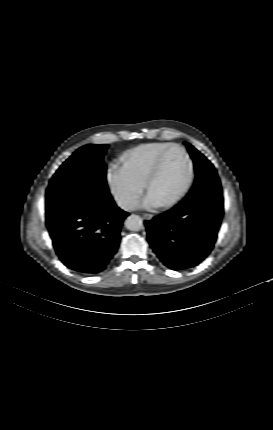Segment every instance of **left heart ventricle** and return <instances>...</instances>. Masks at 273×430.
<instances>
[{
	"label": "left heart ventricle",
	"mask_w": 273,
	"mask_h": 430,
	"mask_svg": "<svg viewBox=\"0 0 273 430\" xmlns=\"http://www.w3.org/2000/svg\"><path fill=\"white\" fill-rule=\"evenodd\" d=\"M188 176V164L178 149L169 151L159 175L152 182L149 192L161 203L172 199L183 187Z\"/></svg>",
	"instance_id": "obj_1"
}]
</instances>
